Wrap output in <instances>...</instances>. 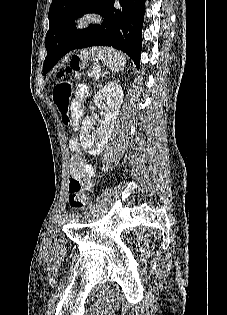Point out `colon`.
I'll return each mask as SVG.
<instances>
[{"label":"colon","instance_id":"obj_1","mask_svg":"<svg viewBox=\"0 0 227 315\" xmlns=\"http://www.w3.org/2000/svg\"><path fill=\"white\" fill-rule=\"evenodd\" d=\"M84 60L74 58L62 70L56 74L57 81L52 90L53 101L61 115V121L65 126H70L78 118V112L73 109L70 98L73 92L68 78L75 77L84 66ZM68 199L73 208H84L89 202L88 191L84 188L80 179L72 178L68 187Z\"/></svg>","mask_w":227,"mask_h":315}]
</instances>
